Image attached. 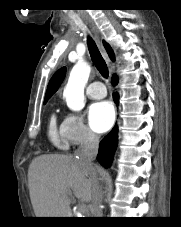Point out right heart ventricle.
Wrapping results in <instances>:
<instances>
[{
    "label": "right heart ventricle",
    "instance_id": "1",
    "mask_svg": "<svg viewBox=\"0 0 181 227\" xmlns=\"http://www.w3.org/2000/svg\"><path fill=\"white\" fill-rule=\"evenodd\" d=\"M48 136L50 141L59 149L66 150L68 148L69 142L63 134L62 123H58L57 115L55 113H52L49 118Z\"/></svg>",
    "mask_w": 181,
    "mask_h": 227
}]
</instances>
